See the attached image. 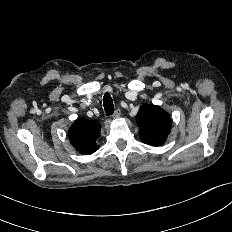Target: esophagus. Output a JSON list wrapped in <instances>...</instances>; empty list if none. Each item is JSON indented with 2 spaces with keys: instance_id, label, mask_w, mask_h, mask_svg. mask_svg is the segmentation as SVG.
<instances>
[{
  "instance_id": "34e87169",
  "label": "esophagus",
  "mask_w": 232,
  "mask_h": 232,
  "mask_svg": "<svg viewBox=\"0 0 232 232\" xmlns=\"http://www.w3.org/2000/svg\"><path fill=\"white\" fill-rule=\"evenodd\" d=\"M120 115H121V110L118 108V109L115 110V112L113 113L112 117L114 119H116V118L120 117Z\"/></svg>"
}]
</instances>
